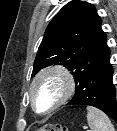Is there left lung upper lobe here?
<instances>
[{"label":"left lung upper lobe","instance_id":"5c2ea615","mask_svg":"<svg viewBox=\"0 0 117 131\" xmlns=\"http://www.w3.org/2000/svg\"><path fill=\"white\" fill-rule=\"evenodd\" d=\"M96 8L87 2L67 3L49 23L39 46L32 76L42 68L61 64L71 71L76 88L108 51Z\"/></svg>","mask_w":117,"mask_h":131}]
</instances>
